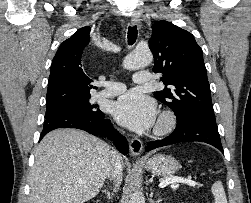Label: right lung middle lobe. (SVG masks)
Wrapping results in <instances>:
<instances>
[{"label": "right lung middle lobe", "mask_w": 251, "mask_h": 203, "mask_svg": "<svg viewBox=\"0 0 251 203\" xmlns=\"http://www.w3.org/2000/svg\"><path fill=\"white\" fill-rule=\"evenodd\" d=\"M89 99L90 98L57 107L46 108L45 118L63 113H83L97 118H104V113L96 109L95 105H91Z\"/></svg>", "instance_id": "obj_1"}]
</instances>
